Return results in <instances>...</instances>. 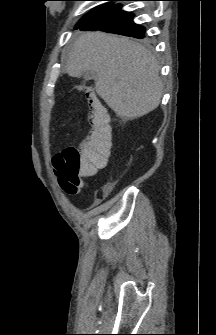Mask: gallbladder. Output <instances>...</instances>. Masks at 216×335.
Here are the masks:
<instances>
[{"label": "gallbladder", "instance_id": "1", "mask_svg": "<svg viewBox=\"0 0 216 335\" xmlns=\"http://www.w3.org/2000/svg\"><path fill=\"white\" fill-rule=\"evenodd\" d=\"M84 77H85L86 80L93 79L95 77V74L89 73V72H85L84 73Z\"/></svg>", "mask_w": 216, "mask_h": 335}]
</instances>
